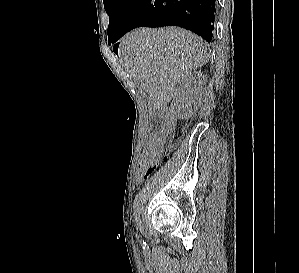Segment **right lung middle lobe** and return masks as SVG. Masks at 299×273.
Returning a JSON list of instances; mask_svg holds the SVG:
<instances>
[{
    "instance_id": "dd1d6c3e",
    "label": "right lung middle lobe",
    "mask_w": 299,
    "mask_h": 273,
    "mask_svg": "<svg viewBox=\"0 0 299 273\" xmlns=\"http://www.w3.org/2000/svg\"><path fill=\"white\" fill-rule=\"evenodd\" d=\"M134 0H103L110 21L108 26V44H111L122 25Z\"/></svg>"
}]
</instances>
